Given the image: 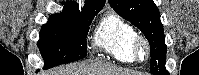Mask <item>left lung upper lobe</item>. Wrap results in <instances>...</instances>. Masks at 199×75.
Returning a JSON list of instances; mask_svg holds the SVG:
<instances>
[{
    "instance_id": "5c2ea615",
    "label": "left lung upper lobe",
    "mask_w": 199,
    "mask_h": 75,
    "mask_svg": "<svg viewBox=\"0 0 199 75\" xmlns=\"http://www.w3.org/2000/svg\"><path fill=\"white\" fill-rule=\"evenodd\" d=\"M110 6L124 19L138 27L150 44V72L169 75L165 68L166 51L160 13L153 0H108Z\"/></svg>"
}]
</instances>
